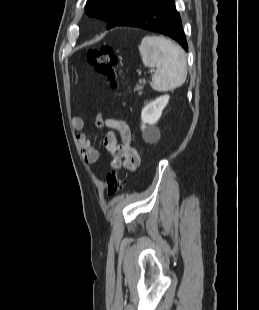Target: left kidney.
I'll return each instance as SVG.
<instances>
[{"mask_svg": "<svg viewBox=\"0 0 259 310\" xmlns=\"http://www.w3.org/2000/svg\"><path fill=\"white\" fill-rule=\"evenodd\" d=\"M169 95H163L155 99L154 101L147 104L141 112V119H142V130H143V136L145 139H147V127L153 126L157 123V121L160 119L162 115L163 109L166 107L169 101Z\"/></svg>", "mask_w": 259, "mask_h": 310, "instance_id": "1", "label": "left kidney"}]
</instances>
